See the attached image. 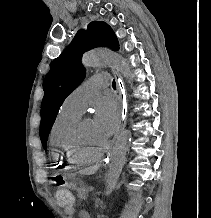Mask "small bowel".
I'll list each match as a JSON object with an SVG mask.
<instances>
[{
    "label": "small bowel",
    "instance_id": "1",
    "mask_svg": "<svg viewBox=\"0 0 211 218\" xmlns=\"http://www.w3.org/2000/svg\"><path fill=\"white\" fill-rule=\"evenodd\" d=\"M66 211H67L68 213H71V212L73 211V207H72V206H69V207L66 209Z\"/></svg>",
    "mask_w": 211,
    "mask_h": 218
}]
</instances>
